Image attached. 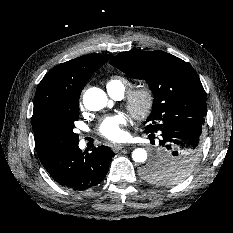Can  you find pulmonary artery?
I'll use <instances>...</instances> for the list:
<instances>
[{
    "label": "pulmonary artery",
    "instance_id": "1",
    "mask_svg": "<svg viewBox=\"0 0 233 233\" xmlns=\"http://www.w3.org/2000/svg\"><path fill=\"white\" fill-rule=\"evenodd\" d=\"M122 96L121 95H117V96H115V98H121Z\"/></svg>",
    "mask_w": 233,
    "mask_h": 233
}]
</instances>
